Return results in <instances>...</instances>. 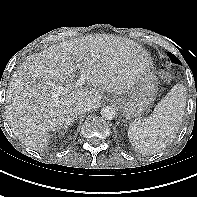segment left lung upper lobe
<instances>
[{
    "label": "left lung upper lobe",
    "instance_id": "obj_1",
    "mask_svg": "<svg viewBox=\"0 0 197 197\" xmlns=\"http://www.w3.org/2000/svg\"><path fill=\"white\" fill-rule=\"evenodd\" d=\"M167 55L170 57L171 62L181 63L173 54H171V53L168 52Z\"/></svg>",
    "mask_w": 197,
    "mask_h": 197
}]
</instances>
